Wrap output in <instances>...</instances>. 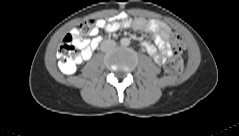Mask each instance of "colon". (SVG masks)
<instances>
[{
    "label": "colon",
    "mask_w": 239,
    "mask_h": 136,
    "mask_svg": "<svg viewBox=\"0 0 239 136\" xmlns=\"http://www.w3.org/2000/svg\"><path fill=\"white\" fill-rule=\"evenodd\" d=\"M97 22L94 19H87L77 25V33L83 36L92 35L96 28ZM171 45L175 51V56L167 61L165 70L169 74H179L183 70L182 51L184 50L183 39L173 34ZM59 65L65 73H73L80 61L79 47L74 42L72 34H68L58 49Z\"/></svg>",
    "instance_id": "obj_1"
}]
</instances>
